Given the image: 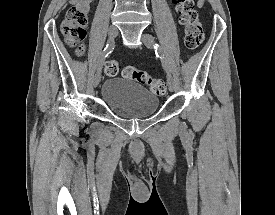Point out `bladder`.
<instances>
[{"label":"bladder","instance_id":"bladder-1","mask_svg":"<svg viewBox=\"0 0 275 215\" xmlns=\"http://www.w3.org/2000/svg\"><path fill=\"white\" fill-rule=\"evenodd\" d=\"M101 100L117 117L141 119L156 113L159 98L152 91L143 88L138 82L108 78L101 88Z\"/></svg>","mask_w":275,"mask_h":215}]
</instances>
